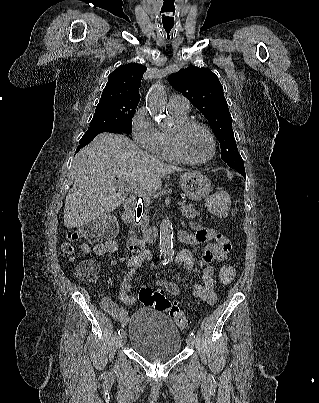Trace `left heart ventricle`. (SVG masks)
I'll return each instance as SVG.
<instances>
[{
	"instance_id": "left-heart-ventricle-1",
	"label": "left heart ventricle",
	"mask_w": 319,
	"mask_h": 403,
	"mask_svg": "<svg viewBox=\"0 0 319 403\" xmlns=\"http://www.w3.org/2000/svg\"><path fill=\"white\" fill-rule=\"evenodd\" d=\"M183 150L194 160H204L211 154L212 146L207 133L198 127L188 130L182 137Z\"/></svg>"
}]
</instances>
